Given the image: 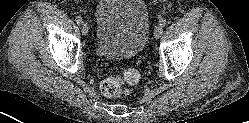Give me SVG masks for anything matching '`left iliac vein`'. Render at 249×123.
Returning <instances> with one entry per match:
<instances>
[{
	"label": "left iliac vein",
	"mask_w": 249,
	"mask_h": 123,
	"mask_svg": "<svg viewBox=\"0 0 249 123\" xmlns=\"http://www.w3.org/2000/svg\"><path fill=\"white\" fill-rule=\"evenodd\" d=\"M163 33V28L161 25H157L154 29V36L155 38H160Z\"/></svg>",
	"instance_id": "obj_1"
}]
</instances>
